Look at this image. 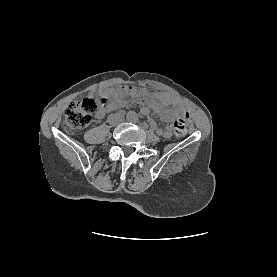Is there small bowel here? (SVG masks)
<instances>
[{
    "label": "small bowel",
    "mask_w": 277,
    "mask_h": 277,
    "mask_svg": "<svg viewBox=\"0 0 277 277\" xmlns=\"http://www.w3.org/2000/svg\"><path fill=\"white\" fill-rule=\"evenodd\" d=\"M100 93L107 96V104L100 108L97 112V118L101 119L105 114L111 110L122 108L126 105V101L122 98L123 95H134L141 97V102L145 104L141 108L143 115H148L150 108L153 109L161 118L166 122H171L174 118L180 117L185 121H189L190 115L187 111L181 108L177 98L168 92L164 91H148L146 89L136 90L132 86H127L121 90L113 89H101ZM151 126L156 132L165 137L171 135V124H169L166 130H163L157 126L154 121H151Z\"/></svg>",
    "instance_id": "1"
}]
</instances>
